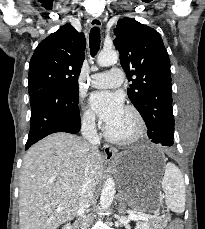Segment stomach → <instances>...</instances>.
<instances>
[{"label": "stomach", "mask_w": 205, "mask_h": 229, "mask_svg": "<svg viewBox=\"0 0 205 229\" xmlns=\"http://www.w3.org/2000/svg\"><path fill=\"white\" fill-rule=\"evenodd\" d=\"M122 193L136 207H150L158 201L154 189L160 179L165 159L163 155L148 148L123 152L116 159Z\"/></svg>", "instance_id": "stomach-1"}]
</instances>
